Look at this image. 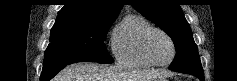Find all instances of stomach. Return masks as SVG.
Here are the masks:
<instances>
[{"mask_svg":"<svg viewBox=\"0 0 237 81\" xmlns=\"http://www.w3.org/2000/svg\"><path fill=\"white\" fill-rule=\"evenodd\" d=\"M152 81H167V78L164 76V77L152 80Z\"/></svg>","mask_w":237,"mask_h":81,"instance_id":"0dacf381","label":"stomach"}]
</instances>
